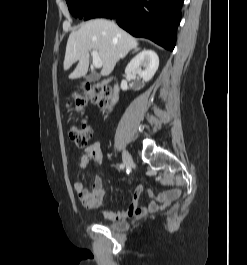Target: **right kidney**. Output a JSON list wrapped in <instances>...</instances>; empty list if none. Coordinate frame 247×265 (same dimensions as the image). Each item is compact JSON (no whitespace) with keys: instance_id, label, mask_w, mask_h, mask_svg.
<instances>
[{"instance_id":"ca27d5eb","label":"right kidney","mask_w":247,"mask_h":265,"mask_svg":"<svg viewBox=\"0 0 247 265\" xmlns=\"http://www.w3.org/2000/svg\"><path fill=\"white\" fill-rule=\"evenodd\" d=\"M158 67V55L153 50H143L128 63L125 73H136L145 82H148L152 79ZM121 89H128L127 80H122Z\"/></svg>"}]
</instances>
